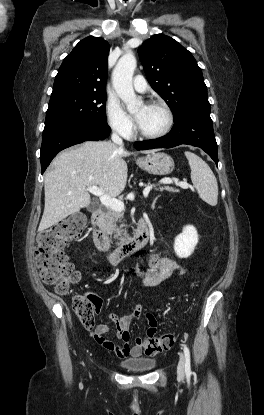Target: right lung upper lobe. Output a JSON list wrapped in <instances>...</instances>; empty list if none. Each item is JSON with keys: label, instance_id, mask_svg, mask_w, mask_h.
Segmentation results:
<instances>
[{"label": "right lung upper lobe", "instance_id": "obj_1", "mask_svg": "<svg viewBox=\"0 0 264 415\" xmlns=\"http://www.w3.org/2000/svg\"><path fill=\"white\" fill-rule=\"evenodd\" d=\"M109 44L89 36L62 62L51 95L64 92H106Z\"/></svg>", "mask_w": 264, "mask_h": 415}]
</instances>
